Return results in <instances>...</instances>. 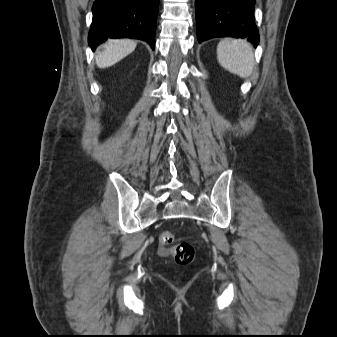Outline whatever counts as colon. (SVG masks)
Here are the masks:
<instances>
[{
    "label": "colon",
    "instance_id": "obj_1",
    "mask_svg": "<svg viewBox=\"0 0 337 337\" xmlns=\"http://www.w3.org/2000/svg\"><path fill=\"white\" fill-rule=\"evenodd\" d=\"M174 236L170 231L163 230L159 233L158 242L162 253H172L178 263H188L194 258V249L187 242L172 245Z\"/></svg>",
    "mask_w": 337,
    "mask_h": 337
}]
</instances>
